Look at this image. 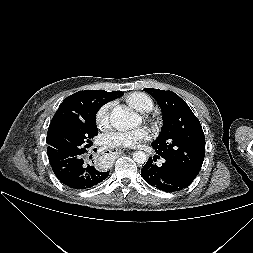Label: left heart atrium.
I'll return each mask as SVG.
<instances>
[{
	"mask_svg": "<svg viewBox=\"0 0 253 253\" xmlns=\"http://www.w3.org/2000/svg\"><path fill=\"white\" fill-rule=\"evenodd\" d=\"M151 133L145 127L133 130H113L102 137V143L110 148H131L136 147L142 141L150 139Z\"/></svg>",
	"mask_w": 253,
	"mask_h": 253,
	"instance_id": "left-heart-atrium-1",
	"label": "left heart atrium"
}]
</instances>
